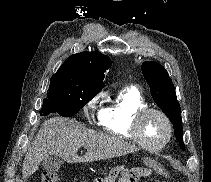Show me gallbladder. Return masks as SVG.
Segmentation results:
<instances>
[{
	"instance_id": "obj_1",
	"label": "gallbladder",
	"mask_w": 211,
	"mask_h": 182,
	"mask_svg": "<svg viewBox=\"0 0 211 182\" xmlns=\"http://www.w3.org/2000/svg\"><path fill=\"white\" fill-rule=\"evenodd\" d=\"M61 160L56 155H50L43 160V167L50 173L57 172L60 169Z\"/></svg>"
}]
</instances>
